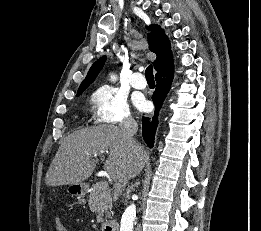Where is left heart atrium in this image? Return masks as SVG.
Listing matches in <instances>:
<instances>
[{"instance_id":"1","label":"left heart atrium","mask_w":261,"mask_h":231,"mask_svg":"<svg viewBox=\"0 0 261 231\" xmlns=\"http://www.w3.org/2000/svg\"><path fill=\"white\" fill-rule=\"evenodd\" d=\"M133 102L139 110H145L148 105L147 101L141 96H135Z\"/></svg>"}]
</instances>
